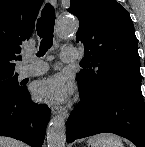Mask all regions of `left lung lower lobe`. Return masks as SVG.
Wrapping results in <instances>:
<instances>
[{
	"label": "left lung lower lobe",
	"mask_w": 145,
	"mask_h": 147,
	"mask_svg": "<svg viewBox=\"0 0 145 147\" xmlns=\"http://www.w3.org/2000/svg\"><path fill=\"white\" fill-rule=\"evenodd\" d=\"M78 85L81 101L68 118V143L98 133H114L129 139L137 147H145L141 80L119 81L98 94Z\"/></svg>",
	"instance_id": "1"
}]
</instances>
